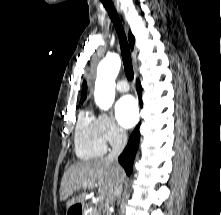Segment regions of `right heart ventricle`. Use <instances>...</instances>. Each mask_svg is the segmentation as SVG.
Masks as SVG:
<instances>
[{
	"label": "right heart ventricle",
	"instance_id": "right-heart-ventricle-1",
	"mask_svg": "<svg viewBox=\"0 0 221 215\" xmlns=\"http://www.w3.org/2000/svg\"><path fill=\"white\" fill-rule=\"evenodd\" d=\"M74 143L76 155L81 160L100 157L106 151V144L98 134L96 118L86 111L79 114Z\"/></svg>",
	"mask_w": 221,
	"mask_h": 215
}]
</instances>
